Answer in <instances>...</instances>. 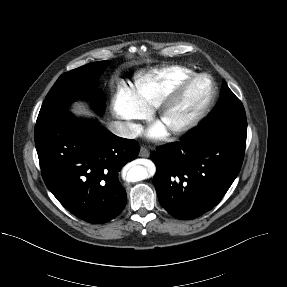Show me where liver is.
I'll use <instances>...</instances> for the list:
<instances>
[{
    "instance_id": "liver-1",
    "label": "liver",
    "mask_w": 287,
    "mask_h": 287,
    "mask_svg": "<svg viewBox=\"0 0 287 287\" xmlns=\"http://www.w3.org/2000/svg\"><path fill=\"white\" fill-rule=\"evenodd\" d=\"M72 112L76 115H85V116H91L92 113L88 111L85 106L81 103H76L72 109Z\"/></svg>"
}]
</instances>
